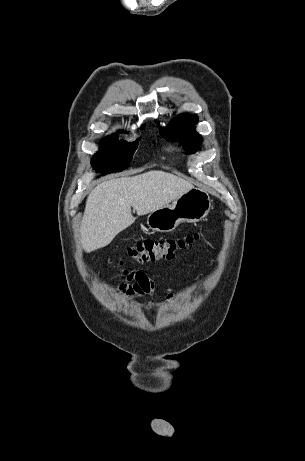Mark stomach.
I'll use <instances>...</instances> for the list:
<instances>
[{"label":"stomach","mask_w":305,"mask_h":461,"mask_svg":"<svg viewBox=\"0 0 305 461\" xmlns=\"http://www.w3.org/2000/svg\"><path fill=\"white\" fill-rule=\"evenodd\" d=\"M211 206L208 193L192 188L181 194L172 204L150 212L147 224L153 231L171 232L182 222L195 223L202 220Z\"/></svg>","instance_id":"obj_1"}]
</instances>
